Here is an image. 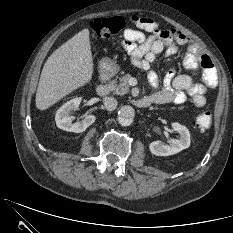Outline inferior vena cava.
I'll return each instance as SVG.
<instances>
[{
    "label": "inferior vena cava",
    "instance_id": "obj_1",
    "mask_svg": "<svg viewBox=\"0 0 233 233\" xmlns=\"http://www.w3.org/2000/svg\"><path fill=\"white\" fill-rule=\"evenodd\" d=\"M103 104L106 110L112 111L116 109L118 102L114 97H105Z\"/></svg>",
    "mask_w": 233,
    "mask_h": 233
}]
</instances>
